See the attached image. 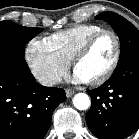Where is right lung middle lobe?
I'll list each match as a JSON object with an SVG mask.
<instances>
[{
    "label": "right lung middle lobe",
    "mask_w": 139,
    "mask_h": 139,
    "mask_svg": "<svg viewBox=\"0 0 139 139\" xmlns=\"http://www.w3.org/2000/svg\"><path fill=\"white\" fill-rule=\"evenodd\" d=\"M41 31L42 28L23 27L11 21H1L0 49H9L24 55L25 45Z\"/></svg>",
    "instance_id": "dd1d6c3e"
}]
</instances>
